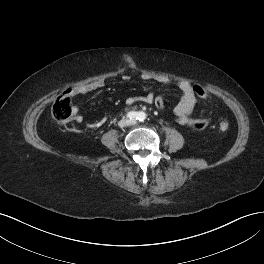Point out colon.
<instances>
[{
	"mask_svg": "<svg viewBox=\"0 0 264 264\" xmlns=\"http://www.w3.org/2000/svg\"><path fill=\"white\" fill-rule=\"evenodd\" d=\"M192 90L194 94L200 98H207L208 92L201 85H193ZM52 115L54 119L60 123H66L73 119L74 110L71 100L68 95L63 94L57 98L52 108ZM188 124L195 130H203L209 125V121L206 119H188ZM221 131H227L229 129V123L227 121H221L219 123Z\"/></svg>",
	"mask_w": 264,
	"mask_h": 264,
	"instance_id": "5ec220e1",
	"label": "colon"
}]
</instances>
